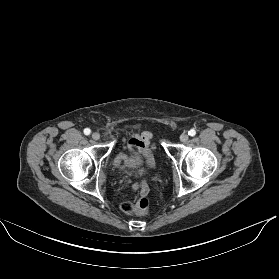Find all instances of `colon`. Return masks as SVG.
Returning a JSON list of instances; mask_svg holds the SVG:
<instances>
[{"mask_svg":"<svg viewBox=\"0 0 279 279\" xmlns=\"http://www.w3.org/2000/svg\"><path fill=\"white\" fill-rule=\"evenodd\" d=\"M121 209L126 213H134L138 216H143L147 213L149 208V201L147 198H140L136 202H132L124 194L118 196Z\"/></svg>","mask_w":279,"mask_h":279,"instance_id":"obj_1","label":"colon"}]
</instances>
